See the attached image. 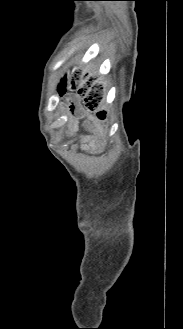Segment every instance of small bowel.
<instances>
[{"label": "small bowel", "mask_w": 183, "mask_h": 329, "mask_svg": "<svg viewBox=\"0 0 183 329\" xmlns=\"http://www.w3.org/2000/svg\"><path fill=\"white\" fill-rule=\"evenodd\" d=\"M75 130H76V128H75L74 122L70 121L69 122V133L73 134L75 132ZM82 146L85 149H88V150H97V149H99V143H98L97 139H95V138L90 139L89 141L83 140L82 141Z\"/></svg>", "instance_id": "obj_1"}]
</instances>
